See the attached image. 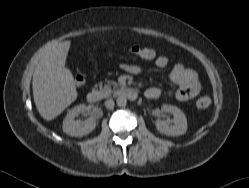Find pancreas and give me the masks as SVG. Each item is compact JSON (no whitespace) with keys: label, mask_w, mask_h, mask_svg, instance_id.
<instances>
[{"label":"pancreas","mask_w":249,"mask_h":188,"mask_svg":"<svg viewBox=\"0 0 249 188\" xmlns=\"http://www.w3.org/2000/svg\"><path fill=\"white\" fill-rule=\"evenodd\" d=\"M112 86L114 88L117 87L116 82H108L107 84H103L102 82L99 84V91L103 97H110L112 94H114V90H112Z\"/></svg>","instance_id":"cf45deb5"}]
</instances>
